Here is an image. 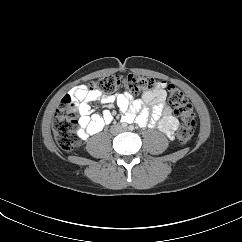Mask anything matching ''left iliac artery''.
<instances>
[{
    "label": "left iliac artery",
    "instance_id": "44dca946",
    "mask_svg": "<svg viewBox=\"0 0 242 242\" xmlns=\"http://www.w3.org/2000/svg\"><path fill=\"white\" fill-rule=\"evenodd\" d=\"M128 128H129V130H131V131L134 129V127H133L132 125H130Z\"/></svg>",
    "mask_w": 242,
    "mask_h": 242
}]
</instances>
